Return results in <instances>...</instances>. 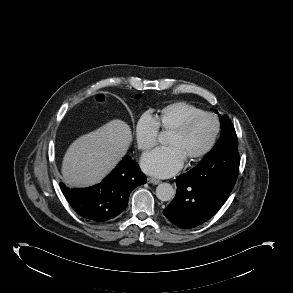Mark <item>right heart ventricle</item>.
Instances as JSON below:
<instances>
[{
  "mask_svg": "<svg viewBox=\"0 0 293 293\" xmlns=\"http://www.w3.org/2000/svg\"><path fill=\"white\" fill-rule=\"evenodd\" d=\"M202 111L201 108L189 102L176 101L158 109L154 118L160 129L171 132L183 124L189 117Z\"/></svg>",
  "mask_w": 293,
  "mask_h": 293,
  "instance_id": "e07e8e85",
  "label": "right heart ventricle"
}]
</instances>
